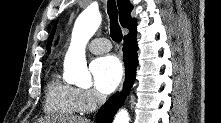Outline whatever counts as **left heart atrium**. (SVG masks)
Returning <instances> with one entry per match:
<instances>
[{"mask_svg": "<svg viewBox=\"0 0 221 123\" xmlns=\"http://www.w3.org/2000/svg\"><path fill=\"white\" fill-rule=\"evenodd\" d=\"M90 71L96 88L105 94L111 93L118 86L123 76L120 60L112 55L93 60Z\"/></svg>", "mask_w": 221, "mask_h": 123, "instance_id": "39dd6f15", "label": "left heart atrium"}]
</instances>
